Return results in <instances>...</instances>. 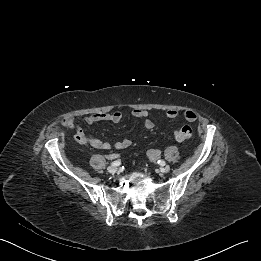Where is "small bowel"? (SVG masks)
<instances>
[{
  "instance_id": "c3829d8e",
  "label": "small bowel",
  "mask_w": 261,
  "mask_h": 261,
  "mask_svg": "<svg viewBox=\"0 0 261 261\" xmlns=\"http://www.w3.org/2000/svg\"><path fill=\"white\" fill-rule=\"evenodd\" d=\"M179 115V111L177 109H168L165 112V116L167 118H176ZM132 116L135 119H139L143 121V127L145 132L151 131L155 124L153 120L149 116V112L144 109H134L132 111ZM183 118L188 122H193L197 119V115L192 110H186L183 112ZM123 119V114L120 111H113V112H98V113H92L85 117V122L88 125H92L96 122L100 121H109L112 123H120ZM67 126L75 130V140L77 143L81 145H89L95 149H101V150H107L110 148V144L106 141H103L99 138L95 137H89L85 134L83 129L77 125L72 119L67 121ZM132 144V141L130 139H124L121 141H118L115 143L116 149H126L130 147ZM149 157L154 159L157 158L159 155V152L151 150L148 153Z\"/></svg>"
}]
</instances>
